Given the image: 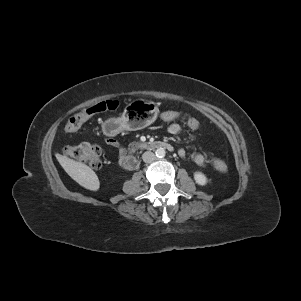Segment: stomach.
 Wrapping results in <instances>:
<instances>
[{"instance_id":"0dacf381","label":"stomach","mask_w":301,"mask_h":301,"mask_svg":"<svg viewBox=\"0 0 301 301\" xmlns=\"http://www.w3.org/2000/svg\"><path fill=\"white\" fill-rule=\"evenodd\" d=\"M156 103L150 100H134L124 109L118 118L109 119L106 131L109 135H116L123 130L136 131L143 129L156 120Z\"/></svg>"}]
</instances>
